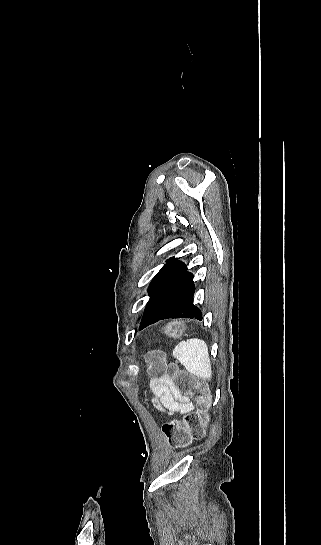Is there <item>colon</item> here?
Listing matches in <instances>:
<instances>
[{"label": "colon", "mask_w": 321, "mask_h": 545, "mask_svg": "<svg viewBox=\"0 0 321 545\" xmlns=\"http://www.w3.org/2000/svg\"><path fill=\"white\" fill-rule=\"evenodd\" d=\"M149 372L156 378L168 376L175 392L196 399L195 411L187 412L182 419H174L163 425L162 431L168 444L182 447L193 440L202 439L207 431V412L212 404L206 385L192 379L176 365H167L157 358L151 361Z\"/></svg>", "instance_id": "5ec220e1"}]
</instances>
